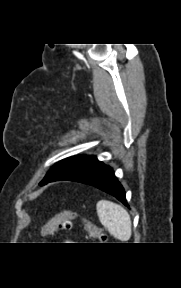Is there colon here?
Masks as SVG:
<instances>
[{"instance_id": "obj_1", "label": "colon", "mask_w": 181, "mask_h": 288, "mask_svg": "<svg viewBox=\"0 0 181 288\" xmlns=\"http://www.w3.org/2000/svg\"><path fill=\"white\" fill-rule=\"evenodd\" d=\"M74 221H79L81 223L82 227L87 232L89 239L99 242H104L106 240V236L102 229L72 210H63L57 213L50 221L40 228V234L49 235L60 229L70 230Z\"/></svg>"}]
</instances>
